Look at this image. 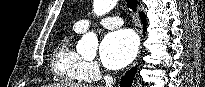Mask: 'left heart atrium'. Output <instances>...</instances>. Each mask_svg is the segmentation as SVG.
Wrapping results in <instances>:
<instances>
[{
    "label": "left heart atrium",
    "instance_id": "1",
    "mask_svg": "<svg viewBox=\"0 0 205 87\" xmlns=\"http://www.w3.org/2000/svg\"><path fill=\"white\" fill-rule=\"evenodd\" d=\"M138 52L136 34L128 29L109 33L100 47L103 64L110 69H120L130 64Z\"/></svg>",
    "mask_w": 205,
    "mask_h": 87
}]
</instances>
